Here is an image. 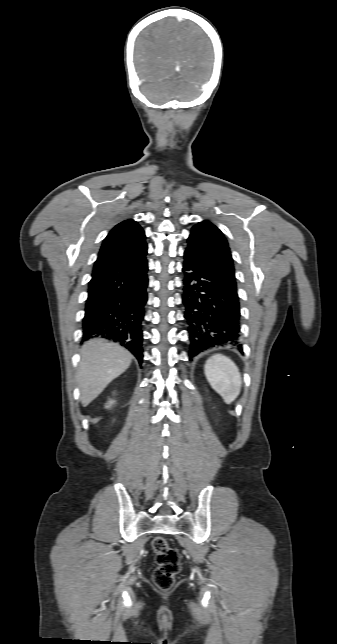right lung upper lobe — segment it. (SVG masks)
I'll list each match as a JSON object with an SVG mask.
<instances>
[{"mask_svg": "<svg viewBox=\"0 0 337 644\" xmlns=\"http://www.w3.org/2000/svg\"><path fill=\"white\" fill-rule=\"evenodd\" d=\"M145 233L132 219L116 225L104 239L92 276L114 266L139 261L147 254Z\"/></svg>", "mask_w": 337, "mask_h": 644, "instance_id": "1", "label": "right lung upper lobe"}]
</instances>
